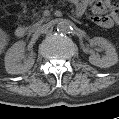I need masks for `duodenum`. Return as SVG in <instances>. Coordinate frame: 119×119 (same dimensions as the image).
<instances>
[{
  "instance_id": "410a0bca",
  "label": "duodenum",
  "mask_w": 119,
  "mask_h": 119,
  "mask_svg": "<svg viewBox=\"0 0 119 119\" xmlns=\"http://www.w3.org/2000/svg\"><path fill=\"white\" fill-rule=\"evenodd\" d=\"M26 35V28L23 25H20L15 30V36L17 38H23Z\"/></svg>"
}]
</instances>
